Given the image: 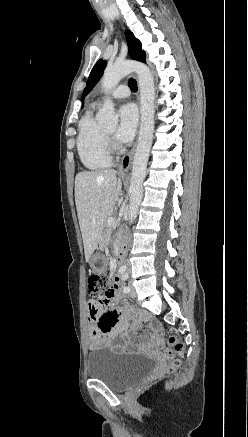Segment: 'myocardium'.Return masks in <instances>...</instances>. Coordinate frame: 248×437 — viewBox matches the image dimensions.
I'll use <instances>...</instances> for the list:
<instances>
[{"label": "myocardium", "instance_id": "obj_1", "mask_svg": "<svg viewBox=\"0 0 248 437\" xmlns=\"http://www.w3.org/2000/svg\"><path fill=\"white\" fill-rule=\"evenodd\" d=\"M106 138H107V141H108V148H110L112 150H116L118 147L111 142L110 135L108 133H106Z\"/></svg>", "mask_w": 248, "mask_h": 437}]
</instances>
